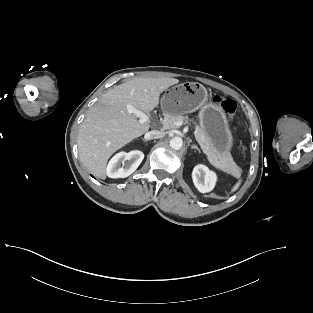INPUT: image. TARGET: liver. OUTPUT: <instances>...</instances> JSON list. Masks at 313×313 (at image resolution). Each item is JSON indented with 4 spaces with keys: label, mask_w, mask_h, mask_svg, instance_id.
<instances>
[{
    "label": "liver",
    "mask_w": 313,
    "mask_h": 313,
    "mask_svg": "<svg viewBox=\"0 0 313 313\" xmlns=\"http://www.w3.org/2000/svg\"><path fill=\"white\" fill-rule=\"evenodd\" d=\"M179 82L175 78H136L106 92L88 112L78 133V152L85 167L100 179L113 153L146 133L150 124L140 123L127 105L149 113L160 94Z\"/></svg>",
    "instance_id": "6515ba94"
}]
</instances>
